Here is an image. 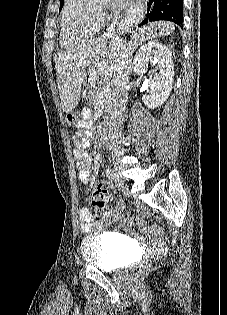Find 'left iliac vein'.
I'll return each instance as SVG.
<instances>
[{
    "label": "left iliac vein",
    "instance_id": "1",
    "mask_svg": "<svg viewBox=\"0 0 227 315\" xmlns=\"http://www.w3.org/2000/svg\"><path fill=\"white\" fill-rule=\"evenodd\" d=\"M124 184V181L122 180V178L118 175V178H117V185L118 186H122Z\"/></svg>",
    "mask_w": 227,
    "mask_h": 315
}]
</instances>
